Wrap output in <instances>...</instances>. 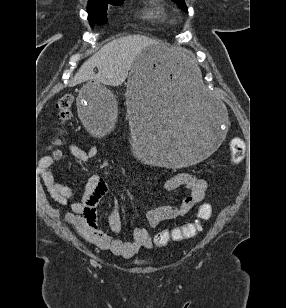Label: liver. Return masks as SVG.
I'll list each match as a JSON object with an SVG mask.
<instances>
[{
    "label": "liver",
    "instance_id": "6515ba94",
    "mask_svg": "<svg viewBox=\"0 0 286 308\" xmlns=\"http://www.w3.org/2000/svg\"><path fill=\"white\" fill-rule=\"evenodd\" d=\"M151 45L159 46L166 55L187 67L190 66V52L186 49L173 50L155 39L143 35H129L107 43L85 61L75 74L71 85L94 80L104 85L119 86L126 80L136 57ZM95 67L98 69L97 74L94 72Z\"/></svg>",
    "mask_w": 286,
    "mask_h": 308
}]
</instances>
